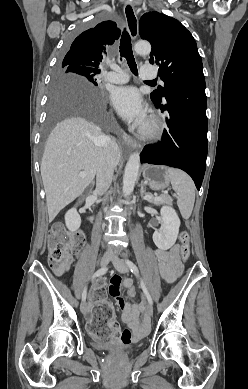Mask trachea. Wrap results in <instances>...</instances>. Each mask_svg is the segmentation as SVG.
I'll return each instance as SVG.
<instances>
[{"instance_id": "3493384b", "label": "trachea", "mask_w": 248, "mask_h": 389, "mask_svg": "<svg viewBox=\"0 0 248 389\" xmlns=\"http://www.w3.org/2000/svg\"><path fill=\"white\" fill-rule=\"evenodd\" d=\"M120 56L127 60L128 66L134 75H138L137 65L133 56L131 38L129 33L124 30L120 40ZM148 83H156L154 81H147Z\"/></svg>"}]
</instances>
